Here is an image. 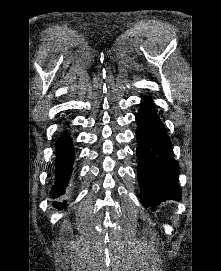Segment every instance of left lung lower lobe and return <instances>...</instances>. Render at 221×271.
<instances>
[{
  "label": "left lung lower lobe",
  "mask_w": 221,
  "mask_h": 271,
  "mask_svg": "<svg viewBox=\"0 0 221 271\" xmlns=\"http://www.w3.org/2000/svg\"><path fill=\"white\" fill-rule=\"evenodd\" d=\"M136 120L137 175L142 203L152 207L166 200L180 201L179 165L173 157L171 140L149 97L142 99Z\"/></svg>",
  "instance_id": "0a47b994"
}]
</instances>
